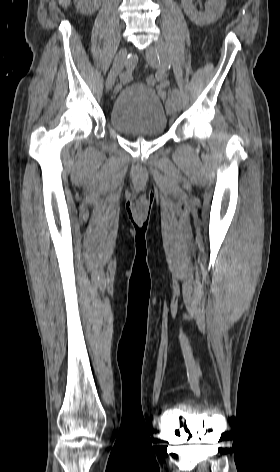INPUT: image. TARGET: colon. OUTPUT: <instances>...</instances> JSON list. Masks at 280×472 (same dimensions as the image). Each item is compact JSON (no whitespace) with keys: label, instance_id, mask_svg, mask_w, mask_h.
I'll use <instances>...</instances> for the list:
<instances>
[{"label":"colon","instance_id":"1","mask_svg":"<svg viewBox=\"0 0 280 472\" xmlns=\"http://www.w3.org/2000/svg\"><path fill=\"white\" fill-rule=\"evenodd\" d=\"M146 82H147V84H149L151 86H154V85L157 84V78L153 75L148 76L147 79H146Z\"/></svg>","mask_w":280,"mask_h":472}]
</instances>
